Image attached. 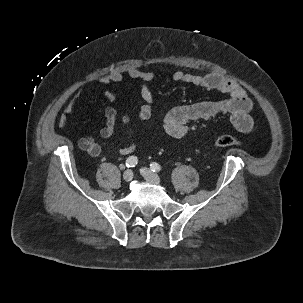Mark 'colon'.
Here are the masks:
<instances>
[{
    "label": "colon",
    "mask_w": 303,
    "mask_h": 303,
    "mask_svg": "<svg viewBox=\"0 0 303 303\" xmlns=\"http://www.w3.org/2000/svg\"><path fill=\"white\" fill-rule=\"evenodd\" d=\"M216 146L228 147V146H239L241 142L231 135H219L214 141Z\"/></svg>",
    "instance_id": "5ec220e1"
}]
</instances>
